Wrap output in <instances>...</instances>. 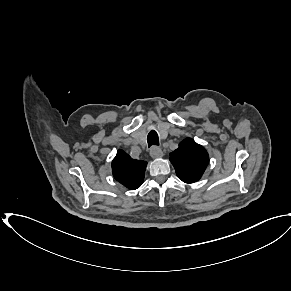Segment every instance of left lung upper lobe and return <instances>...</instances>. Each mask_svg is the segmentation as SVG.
Here are the masks:
<instances>
[{
  "label": "left lung upper lobe",
  "mask_w": 291,
  "mask_h": 291,
  "mask_svg": "<svg viewBox=\"0 0 291 291\" xmlns=\"http://www.w3.org/2000/svg\"><path fill=\"white\" fill-rule=\"evenodd\" d=\"M170 161L179 179L185 183H194L203 175L209 163V155L203 146L187 138L179 144L178 149L170 153Z\"/></svg>",
  "instance_id": "5c2ea615"
}]
</instances>
